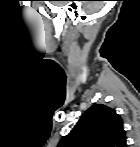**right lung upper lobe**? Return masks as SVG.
Instances as JSON below:
<instances>
[{"label": "right lung upper lobe", "mask_w": 140, "mask_h": 147, "mask_svg": "<svg viewBox=\"0 0 140 147\" xmlns=\"http://www.w3.org/2000/svg\"><path fill=\"white\" fill-rule=\"evenodd\" d=\"M58 147H126L123 121L104 104L87 109Z\"/></svg>", "instance_id": "obj_1"}]
</instances>
